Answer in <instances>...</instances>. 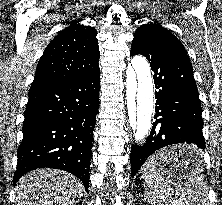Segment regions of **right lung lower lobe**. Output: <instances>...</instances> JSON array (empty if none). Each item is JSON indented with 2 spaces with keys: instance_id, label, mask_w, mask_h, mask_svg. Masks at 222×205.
Masks as SVG:
<instances>
[{
  "instance_id": "98d812e1",
  "label": "right lung lower lobe",
  "mask_w": 222,
  "mask_h": 205,
  "mask_svg": "<svg viewBox=\"0 0 222 205\" xmlns=\"http://www.w3.org/2000/svg\"><path fill=\"white\" fill-rule=\"evenodd\" d=\"M99 81L98 67L81 77L31 86L14 183L49 167L74 174L87 191Z\"/></svg>"
}]
</instances>
